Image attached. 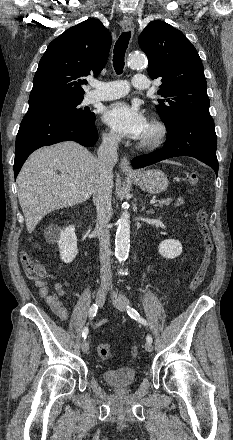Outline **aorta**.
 <instances>
[{
  "mask_svg": "<svg viewBox=\"0 0 233 440\" xmlns=\"http://www.w3.org/2000/svg\"><path fill=\"white\" fill-rule=\"evenodd\" d=\"M146 58L143 54H131L128 58V66L132 69L143 68ZM130 248V220L129 213L125 210L118 220L115 238V256L119 261L125 260L129 255Z\"/></svg>",
  "mask_w": 233,
  "mask_h": 440,
  "instance_id": "1",
  "label": "aorta"
}]
</instances>
